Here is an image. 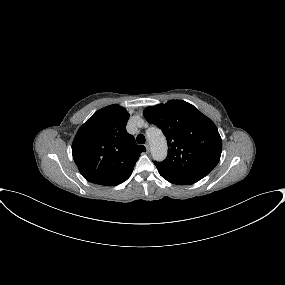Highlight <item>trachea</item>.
I'll use <instances>...</instances> for the list:
<instances>
[{
	"mask_svg": "<svg viewBox=\"0 0 285 285\" xmlns=\"http://www.w3.org/2000/svg\"><path fill=\"white\" fill-rule=\"evenodd\" d=\"M136 140H137V143H139V144H144L145 143V137L142 134H139L137 136Z\"/></svg>",
	"mask_w": 285,
	"mask_h": 285,
	"instance_id": "trachea-1",
	"label": "trachea"
}]
</instances>
